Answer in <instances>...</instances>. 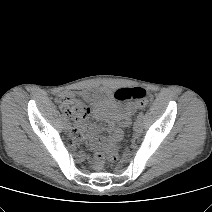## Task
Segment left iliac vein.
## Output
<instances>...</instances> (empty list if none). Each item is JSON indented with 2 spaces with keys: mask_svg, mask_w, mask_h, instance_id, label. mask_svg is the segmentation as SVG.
Listing matches in <instances>:
<instances>
[{
  "mask_svg": "<svg viewBox=\"0 0 212 212\" xmlns=\"http://www.w3.org/2000/svg\"><path fill=\"white\" fill-rule=\"evenodd\" d=\"M133 130L136 134L140 133L141 130H142V122L141 120L137 119L134 123V126H133Z\"/></svg>",
  "mask_w": 212,
  "mask_h": 212,
  "instance_id": "1",
  "label": "left iliac vein"
}]
</instances>
